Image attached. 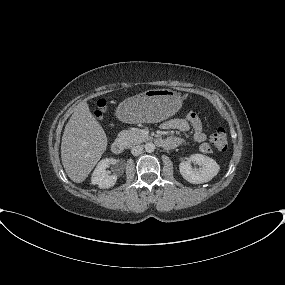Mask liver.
Wrapping results in <instances>:
<instances>
[{
	"mask_svg": "<svg viewBox=\"0 0 285 285\" xmlns=\"http://www.w3.org/2000/svg\"><path fill=\"white\" fill-rule=\"evenodd\" d=\"M107 147L104 129L94 118L87 102L75 108L65 126L61 143V160L69 178L83 182Z\"/></svg>",
	"mask_w": 285,
	"mask_h": 285,
	"instance_id": "liver-1",
	"label": "liver"
}]
</instances>
